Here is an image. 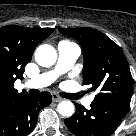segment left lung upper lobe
<instances>
[{
	"instance_id": "left-lung-upper-lobe-1",
	"label": "left lung upper lobe",
	"mask_w": 136,
	"mask_h": 136,
	"mask_svg": "<svg viewBox=\"0 0 136 136\" xmlns=\"http://www.w3.org/2000/svg\"><path fill=\"white\" fill-rule=\"evenodd\" d=\"M62 34L78 40L84 53L83 83L98 90L94 101L128 109L133 79L120 47L92 28H62Z\"/></svg>"
}]
</instances>
